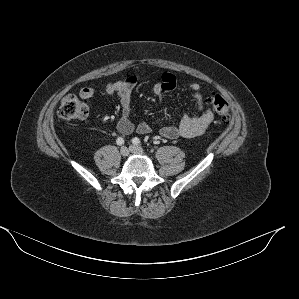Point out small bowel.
I'll return each instance as SVG.
<instances>
[{
    "label": "small bowel",
    "instance_id": "c3829d8e",
    "mask_svg": "<svg viewBox=\"0 0 299 299\" xmlns=\"http://www.w3.org/2000/svg\"><path fill=\"white\" fill-rule=\"evenodd\" d=\"M139 83L135 75H129L125 79L108 83L104 87L107 94L116 93L120 99L121 115L117 121V129L123 135H129L132 132L139 134H148L151 127L145 123H134L131 120V94L133 89ZM176 77L171 73H162L160 79L152 85V92L163 96L176 87ZM186 88L192 92V98L196 103L198 113L196 115H183L176 125L163 126L159 133L162 137L168 139L193 138L201 135L211 124L214 113L211 108L205 107L202 96V86L196 81L186 83ZM96 93L93 87L87 86L80 90L79 95L82 99L88 100Z\"/></svg>",
    "mask_w": 299,
    "mask_h": 299
}]
</instances>
